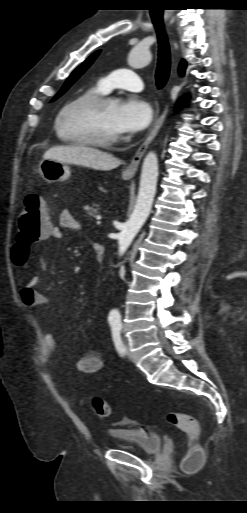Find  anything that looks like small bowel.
Returning a JSON list of instances; mask_svg holds the SVG:
<instances>
[{
  "label": "small bowel",
  "mask_w": 247,
  "mask_h": 513,
  "mask_svg": "<svg viewBox=\"0 0 247 513\" xmlns=\"http://www.w3.org/2000/svg\"><path fill=\"white\" fill-rule=\"evenodd\" d=\"M82 224L78 221L72 213L64 209L61 211L59 215V224L58 226L52 225L49 234L44 238L53 239V240H62L63 239V230H81ZM41 269L43 270V266L41 265ZM41 284V279L39 276L30 277L25 285L22 287L20 291V298L22 303L30 308L36 307H45L48 305V298L39 291V286ZM57 354V345L56 340L52 332L45 331L44 332V352L43 358L45 361H49L52 357ZM104 359L102 356L96 351H85L83 352L77 362V369L86 374L97 373L104 367Z\"/></svg>",
  "instance_id": "c3829d8e"
}]
</instances>
